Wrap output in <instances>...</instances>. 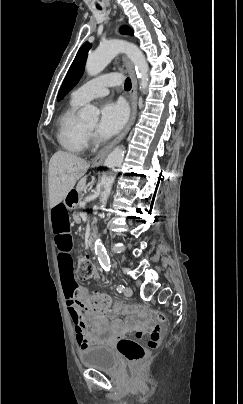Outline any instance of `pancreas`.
I'll return each mask as SVG.
<instances>
[{
  "mask_svg": "<svg viewBox=\"0 0 243 404\" xmlns=\"http://www.w3.org/2000/svg\"><path fill=\"white\" fill-rule=\"evenodd\" d=\"M73 219H74L76 225H79L80 220H79V218H78V214H77V213H74V214H73Z\"/></svg>",
  "mask_w": 243,
  "mask_h": 404,
  "instance_id": "1",
  "label": "pancreas"
}]
</instances>
